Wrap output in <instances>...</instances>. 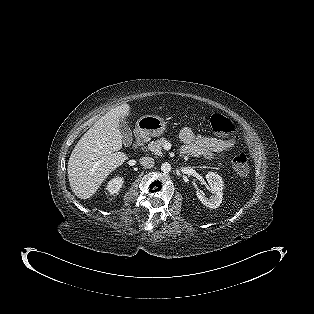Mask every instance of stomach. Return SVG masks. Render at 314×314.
I'll list each match as a JSON object with an SVG mask.
<instances>
[{
  "mask_svg": "<svg viewBox=\"0 0 314 314\" xmlns=\"http://www.w3.org/2000/svg\"><path fill=\"white\" fill-rule=\"evenodd\" d=\"M166 129L164 119L156 115L143 116L136 123V131L146 136H161Z\"/></svg>",
  "mask_w": 314,
  "mask_h": 314,
  "instance_id": "obj_1",
  "label": "stomach"
}]
</instances>
